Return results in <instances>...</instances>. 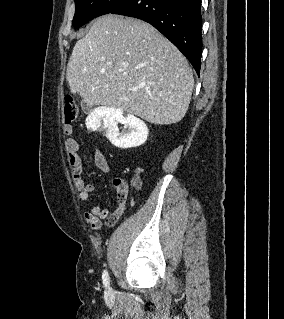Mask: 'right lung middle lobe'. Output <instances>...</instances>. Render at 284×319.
<instances>
[{
	"label": "right lung middle lobe",
	"instance_id": "obj_1",
	"mask_svg": "<svg viewBox=\"0 0 284 319\" xmlns=\"http://www.w3.org/2000/svg\"><path fill=\"white\" fill-rule=\"evenodd\" d=\"M130 0H75L73 27L79 28L91 19L124 5Z\"/></svg>",
	"mask_w": 284,
	"mask_h": 319
}]
</instances>
